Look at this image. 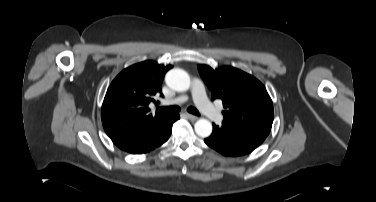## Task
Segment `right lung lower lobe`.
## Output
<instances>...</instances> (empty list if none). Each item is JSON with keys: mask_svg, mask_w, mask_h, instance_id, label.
I'll return each mask as SVG.
<instances>
[{"mask_svg": "<svg viewBox=\"0 0 376 202\" xmlns=\"http://www.w3.org/2000/svg\"><path fill=\"white\" fill-rule=\"evenodd\" d=\"M178 114L168 116L145 127L122 143L116 144L121 150L132 154L150 152L165 143L172 132V126L179 119Z\"/></svg>", "mask_w": 376, "mask_h": 202, "instance_id": "obj_1", "label": "right lung lower lobe"}]
</instances>
